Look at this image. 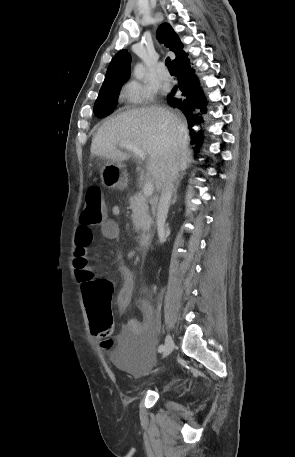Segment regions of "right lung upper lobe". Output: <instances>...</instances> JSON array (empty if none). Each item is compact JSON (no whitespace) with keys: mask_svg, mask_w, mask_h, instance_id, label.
<instances>
[{"mask_svg":"<svg viewBox=\"0 0 295 457\" xmlns=\"http://www.w3.org/2000/svg\"><path fill=\"white\" fill-rule=\"evenodd\" d=\"M157 39L173 51L176 58L183 52V44L169 24L164 23L159 26L157 30ZM130 63L131 56L127 50L119 51L108 66L106 77L100 91L121 87L129 78Z\"/></svg>","mask_w":295,"mask_h":457,"instance_id":"obj_1","label":"right lung upper lobe"}]
</instances>
